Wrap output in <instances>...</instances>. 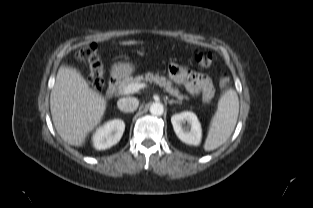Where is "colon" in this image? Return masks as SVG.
<instances>
[{
	"instance_id": "5ec220e1",
	"label": "colon",
	"mask_w": 313,
	"mask_h": 208,
	"mask_svg": "<svg viewBox=\"0 0 313 208\" xmlns=\"http://www.w3.org/2000/svg\"><path fill=\"white\" fill-rule=\"evenodd\" d=\"M79 57L86 61L90 69V80L96 89H101L104 85L103 65L95 43H90L80 49ZM194 61L201 67H209L212 63V55L209 52L195 50L192 54ZM230 79L227 74H222L219 78L220 87L229 84Z\"/></svg>"
}]
</instances>
